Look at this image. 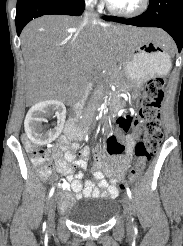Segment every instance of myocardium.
<instances>
[{
  "mask_svg": "<svg viewBox=\"0 0 183 246\" xmlns=\"http://www.w3.org/2000/svg\"><path fill=\"white\" fill-rule=\"evenodd\" d=\"M150 0H141L140 4L132 10H120L114 7L110 1L106 0L107 9L114 15L120 17H135L142 14L148 8Z\"/></svg>",
  "mask_w": 183,
  "mask_h": 246,
  "instance_id": "obj_1",
  "label": "myocardium"
}]
</instances>
